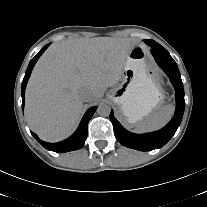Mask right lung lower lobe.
<instances>
[{"instance_id": "right-lung-lower-lobe-1", "label": "right lung lower lobe", "mask_w": 207, "mask_h": 207, "mask_svg": "<svg viewBox=\"0 0 207 207\" xmlns=\"http://www.w3.org/2000/svg\"><path fill=\"white\" fill-rule=\"evenodd\" d=\"M48 46L49 44H47L41 49V51L30 61L29 66L26 70V73H25V76L22 82V109L24 108L25 88H26L28 79L30 77V74L32 72V69L35 63L37 62L38 58L42 55V53L47 49ZM96 109H97L96 106H93L92 108L88 109L85 115L83 116L78 129L75 131V133L72 136H70L68 139L64 141H61L58 143H47V142L41 141L35 133L31 132V134L47 150L54 151L57 153L78 150L85 143V140L87 138L88 122L93 116Z\"/></svg>"}]
</instances>
